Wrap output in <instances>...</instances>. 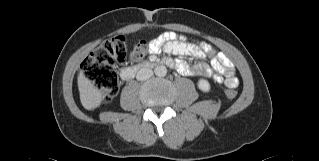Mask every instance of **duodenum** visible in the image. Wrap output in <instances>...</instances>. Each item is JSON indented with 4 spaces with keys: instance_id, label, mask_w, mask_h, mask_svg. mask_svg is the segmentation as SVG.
<instances>
[{
    "instance_id": "obj_1",
    "label": "duodenum",
    "mask_w": 319,
    "mask_h": 161,
    "mask_svg": "<svg viewBox=\"0 0 319 161\" xmlns=\"http://www.w3.org/2000/svg\"><path fill=\"white\" fill-rule=\"evenodd\" d=\"M157 64H159V62L150 60L135 66L124 67L121 69V78L127 81L133 78L138 72L146 69H151L155 67ZM163 64H166L169 67L174 66L173 62L169 59L165 60Z\"/></svg>"
}]
</instances>
